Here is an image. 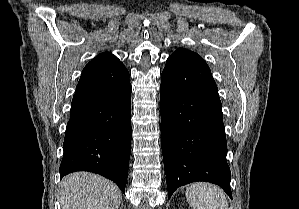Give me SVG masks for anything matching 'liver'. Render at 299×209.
Returning <instances> with one entry per match:
<instances>
[{
  "instance_id": "1",
  "label": "liver",
  "mask_w": 299,
  "mask_h": 209,
  "mask_svg": "<svg viewBox=\"0 0 299 209\" xmlns=\"http://www.w3.org/2000/svg\"><path fill=\"white\" fill-rule=\"evenodd\" d=\"M121 200L117 185L97 174L75 172L60 184L62 209H118Z\"/></svg>"
}]
</instances>
